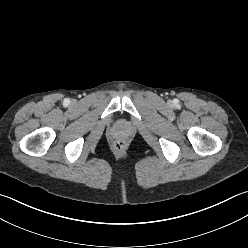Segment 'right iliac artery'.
<instances>
[{
	"label": "right iliac artery",
	"mask_w": 248,
	"mask_h": 248,
	"mask_svg": "<svg viewBox=\"0 0 248 248\" xmlns=\"http://www.w3.org/2000/svg\"><path fill=\"white\" fill-rule=\"evenodd\" d=\"M65 102H66V103H68V102H69V100H66Z\"/></svg>",
	"instance_id": "right-iliac-artery-1"
}]
</instances>
